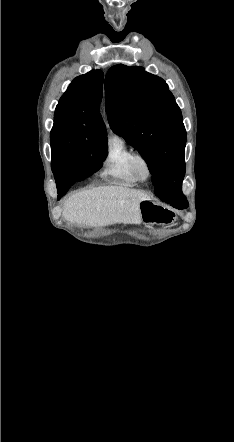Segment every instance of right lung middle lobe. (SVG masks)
Instances as JSON below:
<instances>
[{
  "label": "right lung middle lobe",
  "instance_id": "right-lung-middle-lobe-1",
  "mask_svg": "<svg viewBox=\"0 0 234 442\" xmlns=\"http://www.w3.org/2000/svg\"><path fill=\"white\" fill-rule=\"evenodd\" d=\"M107 139L85 136L71 124L54 122L50 142L52 150L51 168L57 183L73 185L99 170L108 151Z\"/></svg>",
  "mask_w": 234,
  "mask_h": 442
}]
</instances>
